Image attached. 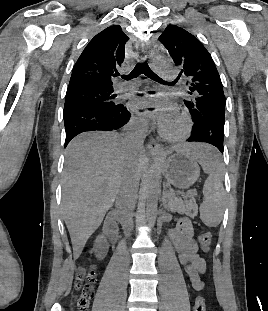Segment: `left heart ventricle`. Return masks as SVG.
<instances>
[{"label":"left heart ventricle","mask_w":268,"mask_h":311,"mask_svg":"<svg viewBox=\"0 0 268 311\" xmlns=\"http://www.w3.org/2000/svg\"><path fill=\"white\" fill-rule=\"evenodd\" d=\"M163 126L170 133H177L180 130V123L176 117H174L170 122Z\"/></svg>","instance_id":"obj_1"}]
</instances>
